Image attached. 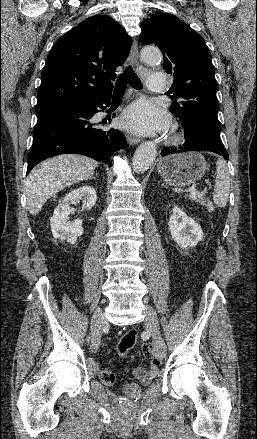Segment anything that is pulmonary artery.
Wrapping results in <instances>:
<instances>
[{
	"label": "pulmonary artery",
	"instance_id": "pulmonary-artery-1",
	"mask_svg": "<svg viewBox=\"0 0 257 439\" xmlns=\"http://www.w3.org/2000/svg\"><path fill=\"white\" fill-rule=\"evenodd\" d=\"M148 90L152 93H163L167 88V77L164 73H152L147 80Z\"/></svg>",
	"mask_w": 257,
	"mask_h": 439
}]
</instances>
